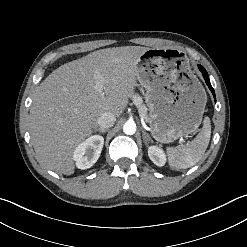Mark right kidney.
<instances>
[{"label":"right kidney","mask_w":247,"mask_h":247,"mask_svg":"<svg viewBox=\"0 0 247 247\" xmlns=\"http://www.w3.org/2000/svg\"><path fill=\"white\" fill-rule=\"evenodd\" d=\"M104 145V138L93 135L80 143L73 154L76 166L79 169H88L98 160Z\"/></svg>","instance_id":"ca27d5eb"}]
</instances>
